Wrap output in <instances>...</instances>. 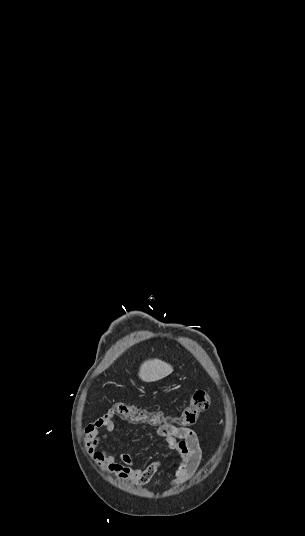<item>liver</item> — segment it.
<instances>
[{"mask_svg": "<svg viewBox=\"0 0 305 536\" xmlns=\"http://www.w3.org/2000/svg\"><path fill=\"white\" fill-rule=\"evenodd\" d=\"M172 372V366L166 364V362H162V360H147V362H143L142 366H140L138 376L142 382H158V380L166 378Z\"/></svg>", "mask_w": 305, "mask_h": 536, "instance_id": "6515ba94", "label": "liver"}]
</instances>
